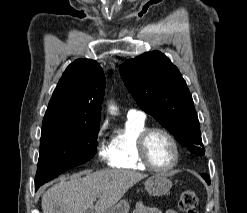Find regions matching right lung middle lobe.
Here are the masks:
<instances>
[{"label": "right lung middle lobe", "instance_id": "1", "mask_svg": "<svg viewBox=\"0 0 247 213\" xmlns=\"http://www.w3.org/2000/svg\"><path fill=\"white\" fill-rule=\"evenodd\" d=\"M99 125H42L35 187L89 161L97 150Z\"/></svg>", "mask_w": 247, "mask_h": 213}]
</instances>
